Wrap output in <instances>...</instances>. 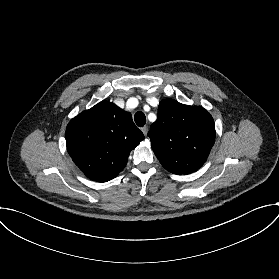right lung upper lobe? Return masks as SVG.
Instances as JSON below:
<instances>
[{
	"mask_svg": "<svg viewBox=\"0 0 279 279\" xmlns=\"http://www.w3.org/2000/svg\"><path fill=\"white\" fill-rule=\"evenodd\" d=\"M143 139L131 114L106 101L80 113L66 129L69 155L97 182L115 178L126 166L130 151Z\"/></svg>",
	"mask_w": 279,
	"mask_h": 279,
	"instance_id": "cb5924a9",
	"label": "right lung upper lobe"
}]
</instances>
